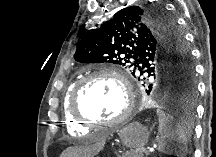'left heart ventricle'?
I'll return each mask as SVG.
<instances>
[{
	"label": "left heart ventricle",
	"mask_w": 216,
	"mask_h": 157,
	"mask_svg": "<svg viewBox=\"0 0 216 157\" xmlns=\"http://www.w3.org/2000/svg\"><path fill=\"white\" fill-rule=\"evenodd\" d=\"M79 107L86 116L99 121H112L125 108V98L120 85L108 77H97L84 87Z\"/></svg>",
	"instance_id": "left-heart-ventricle-1"
}]
</instances>
